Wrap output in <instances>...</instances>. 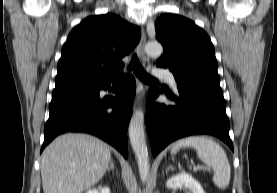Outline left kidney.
<instances>
[{
  "instance_id": "5707ae66",
  "label": "left kidney",
  "mask_w": 277,
  "mask_h": 193,
  "mask_svg": "<svg viewBox=\"0 0 277 193\" xmlns=\"http://www.w3.org/2000/svg\"><path fill=\"white\" fill-rule=\"evenodd\" d=\"M167 188L177 189L187 187L191 193H205L200 183L187 173H179L169 178L166 182Z\"/></svg>"
}]
</instances>
